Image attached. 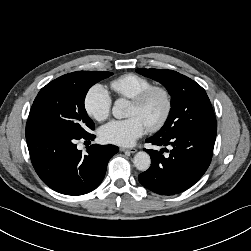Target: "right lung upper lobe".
I'll list each match as a JSON object with an SVG mask.
<instances>
[{
    "mask_svg": "<svg viewBox=\"0 0 251 251\" xmlns=\"http://www.w3.org/2000/svg\"><path fill=\"white\" fill-rule=\"evenodd\" d=\"M78 72H80V71H78ZM78 72L69 73V74L63 75V76H61V77H63V78L73 77V76L77 75Z\"/></svg>",
    "mask_w": 251,
    "mask_h": 251,
    "instance_id": "obj_1",
    "label": "right lung upper lobe"
}]
</instances>
